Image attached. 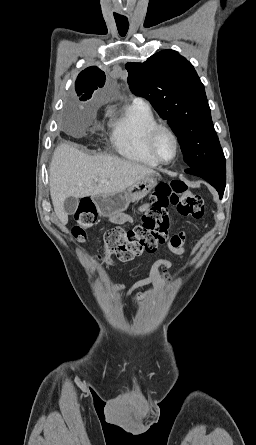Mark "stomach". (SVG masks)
<instances>
[{
	"label": "stomach",
	"mask_w": 256,
	"mask_h": 445,
	"mask_svg": "<svg viewBox=\"0 0 256 445\" xmlns=\"http://www.w3.org/2000/svg\"><path fill=\"white\" fill-rule=\"evenodd\" d=\"M157 184V175H150L122 192L96 195L93 200L101 216L113 217L124 212L131 202L144 198Z\"/></svg>",
	"instance_id": "stomach-1"
}]
</instances>
